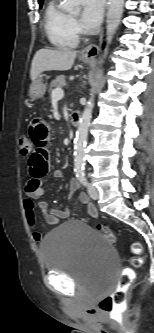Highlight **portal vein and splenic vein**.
Segmentation results:
<instances>
[{"mask_svg": "<svg viewBox=\"0 0 154 333\" xmlns=\"http://www.w3.org/2000/svg\"><path fill=\"white\" fill-rule=\"evenodd\" d=\"M52 98L62 99L64 97V91L62 88L58 87L52 91Z\"/></svg>", "mask_w": 154, "mask_h": 333, "instance_id": "1", "label": "portal vein and splenic vein"}]
</instances>
